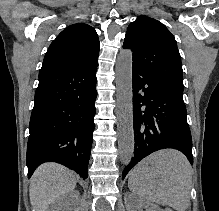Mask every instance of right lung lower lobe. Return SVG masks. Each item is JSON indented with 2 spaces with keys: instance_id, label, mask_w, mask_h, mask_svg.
<instances>
[{
  "instance_id": "right-lung-lower-lobe-1",
  "label": "right lung lower lobe",
  "mask_w": 219,
  "mask_h": 211,
  "mask_svg": "<svg viewBox=\"0 0 219 211\" xmlns=\"http://www.w3.org/2000/svg\"><path fill=\"white\" fill-rule=\"evenodd\" d=\"M89 67L43 68L35 92L27 146L28 177L44 162H58L83 179L92 146L96 113V70Z\"/></svg>"
}]
</instances>
